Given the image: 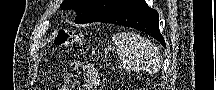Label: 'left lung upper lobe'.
<instances>
[{"mask_svg": "<svg viewBox=\"0 0 216 90\" xmlns=\"http://www.w3.org/2000/svg\"><path fill=\"white\" fill-rule=\"evenodd\" d=\"M129 0H64L61 9L76 12L75 23H91Z\"/></svg>", "mask_w": 216, "mask_h": 90, "instance_id": "5c2ea615", "label": "left lung upper lobe"}]
</instances>
